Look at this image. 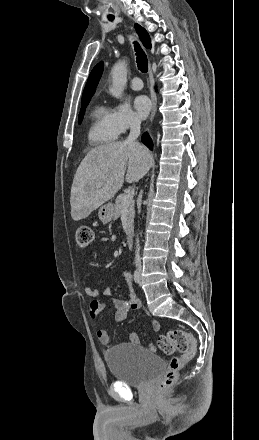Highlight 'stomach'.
<instances>
[{
	"instance_id": "1",
	"label": "stomach",
	"mask_w": 259,
	"mask_h": 440,
	"mask_svg": "<svg viewBox=\"0 0 259 440\" xmlns=\"http://www.w3.org/2000/svg\"><path fill=\"white\" fill-rule=\"evenodd\" d=\"M98 217L103 224L109 223L114 217V206L111 203L101 206Z\"/></svg>"
}]
</instances>
